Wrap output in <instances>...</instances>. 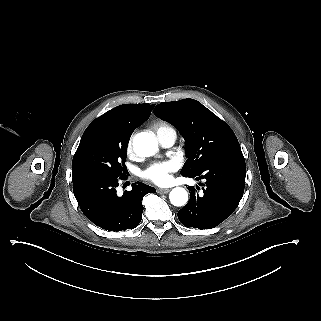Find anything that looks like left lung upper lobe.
Returning a JSON list of instances; mask_svg holds the SVG:
<instances>
[{"label": "left lung upper lobe", "mask_w": 321, "mask_h": 321, "mask_svg": "<svg viewBox=\"0 0 321 321\" xmlns=\"http://www.w3.org/2000/svg\"><path fill=\"white\" fill-rule=\"evenodd\" d=\"M154 113L175 126L185 139L187 161L182 176L197 173L217 158L242 153L232 129L196 100L161 103Z\"/></svg>", "instance_id": "1"}]
</instances>
